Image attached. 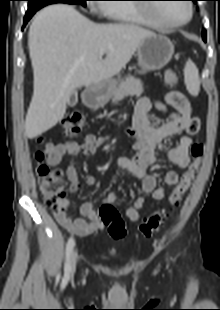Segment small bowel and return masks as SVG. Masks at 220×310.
I'll return each mask as SVG.
<instances>
[{
    "mask_svg": "<svg viewBox=\"0 0 220 310\" xmlns=\"http://www.w3.org/2000/svg\"><path fill=\"white\" fill-rule=\"evenodd\" d=\"M153 107L163 113L162 119L151 120L149 118V112ZM169 107L173 110L170 111ZM199 128L200 120L192 114L191 104L181 91H169L163 102L155 101L149 97L139 99L135 108L133 123L126 130V133L135 139L137 156L135 158L113 156L119 168L127 170L141 179V194L135 199L132 206L124 208L130 221H138L140 209L149 195L155 200H162L165 197V187L157 186L156 177L147 172L149 166L154 163L155 151L162 147L163 140L170 136L180 135L176 145L167 150L165 156L178 170H183L190 163V148L193 141L189 134L197 133ZM108 141V138L89 134L81 143L76 141H65L58 144L47 143L44 146L43 153L46 156L47 165L56 166L67 155L84 154L92 156L99 147L106 146ZM65 172L70 181L69 191H77L79 179L76 167L69 165ZM84 180L88 185H95L97 182L96 178L90 174H86ZM178 180L177 171H169L164 176L166 186H175ZM106 201L118 204L117 194L110 192ZM68 205V201L63 199L59 208L54 210L56 220L68 232L80 237H87L103 229L104 225L92 202H85L81 205L82 217L75 220H72L67 214Z\"/></svg>",
    "mask_w": 220,
    "mask_h": 310,
    "instance_id": "small-bowel-1",
    "label": "small bowel"
}]
</instances>
